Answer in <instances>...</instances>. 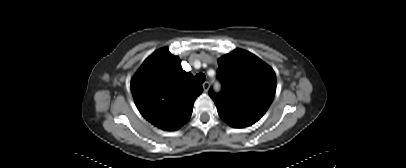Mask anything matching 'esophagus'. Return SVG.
<instances>
[{
	"label": "esophagus",
	"instance_id": "34e87169",
	"mask_svg": "<svg viewBox=\"0 0 406 168\" xmlns=\"http://www.w3.org/2000/svg\"><path fill=\"white\" fill-rule=\"evenodd\" d=\"M202 86H203L204 92H208L209 86H210L209 82H204Z\"/></svg>",
	"mask_w": 406,
	"mask_h": 168
}]
</instances>
